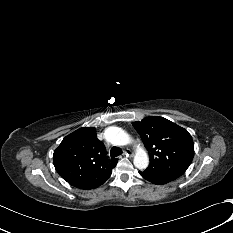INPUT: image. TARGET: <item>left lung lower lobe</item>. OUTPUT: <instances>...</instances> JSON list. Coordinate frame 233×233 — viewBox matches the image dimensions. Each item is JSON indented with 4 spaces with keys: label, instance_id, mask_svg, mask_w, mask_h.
I'll list each match as a JSON object with an SVG mask.
<instances>
[{
    "label": "left lung lower lobe",
    "instance_id": "0a47b994",
    "mask_svg": "<svg viewBox=\"0 0 233 233\" xmlns=\"http://www.w3.org/2000/svg\"><path fill=\"white\" fill-rule=\"evenodd\" d=\"M139 174L146 180H148L149 182L153 183V184H158V185H162V184H166L168 182H165L164 180L155 177L145 171H139Z\"/></svg>",
    "mask_w": 233,
    "mask_h": 233
}]
</instances>
